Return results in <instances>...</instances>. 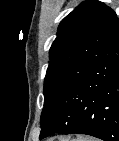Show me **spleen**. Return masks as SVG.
<instances>
[{"mask_svg": "<svg viewBox=\"0 0 119 141\" xmlns=\"http://www.w3.org/2000/svg\"><path fill=\"white\" fill-rule=\"evenodd\" d=\"M77 141H90V140H87V139H80V140H77Z\"/></svg>", "mask_w": 119, "mask_h": 141, "instance_id": "1", "label": "spleen"}]
</instances>
